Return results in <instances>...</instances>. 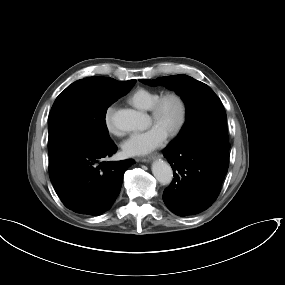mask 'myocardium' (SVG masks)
<instances>
[{"mask_svg": "<svg viewBox=\"0 0 285 285\" xmlns=\"http://www.w3.org/2000/svg\"><path fill=\"white\" fill-rule=\"evenodd\" d=\"M169 99L176 100L180 108V115L177 123L167 132V135L169 137H175L184 128L188 117V105L183 95L176 91L166 92L159 96V98L153 103L152 107L149 110L153 119L158 120L160 118L164 104Z\"/></svg>", "mask_w": 285, "mask_h": 285, "instance_id": "f54148a6", "label": "myocardium"}]
</instances>
